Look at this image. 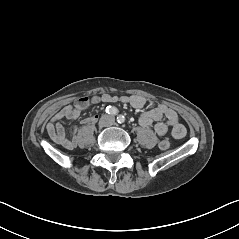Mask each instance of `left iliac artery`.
<instances>
[{
	"instance_id": "44dca946",
	"label": "left iliac artery",
	"mask_w": 239,
	"mask_h": 239,
	"mask_svg": "<svg viewBox=\"0 0 239 239\" xmlns=\"http://www.w3.org/2000/svg\"><path fill=\"white\" fill-rule=\"evenodd\" d=\"M117 121H118V123H124L125 117H124L123 115H119V116L117 117Z\"/></svg>"
}]
</instances>
